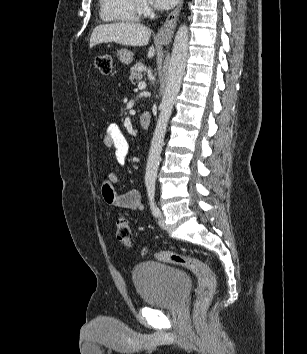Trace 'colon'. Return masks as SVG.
<instances>
[{
    "instance_id": "1",
    "label": "colon",
    "mask_w": 307,
    "mask_h": 354,
    "mask_svg": "<svg viewBox=\"0 0 307 354\" xmlns=\"http://www.w3.org/2000/svg\"><path fill=\"white\" fill-rule=\"evenodd\" d=\"M94 65L102 75H108L112 69V58L108 54H102L95 58ZM116 235L124 246L132 243V231L125 217H119L116 221ZM156 259L185 267L194 272L199 279V289L195 300L196 316L211 301L216 291V279L210 267L203 261L169 251L155 253Z\"/></svg>"
}]
</instances>
